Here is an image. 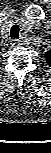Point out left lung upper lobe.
I'll use <instances>...</instances> for the list:
<instances>
[{
  "label": "left lung upper lobe",
  "mask_w": 51,
  "mask_h": 153,
  "mask_svg": "<svg viewBox=\"0 0 51 153\" xmlns=\"http://www.w3.org/2000/svg\"><path fill=\"white\" fill-rule=\"evenodd\" d=\"M46 63L51 66V49L45 53Z\"/></svg>",
  "instance_id": "left-lung-upper-lobe-1"
}]
</instances>
